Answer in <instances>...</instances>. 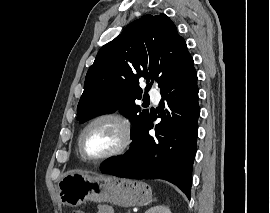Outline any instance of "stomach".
<instances>
[{
    "mask_svg": "<svg viewBox=\"0 0 270 213\" xmlns=\"http://www.w3.org/2000/svg\"><path fill=\"white\" fill-rule=\"evenodd\" d=\"M58 196L63 205L77 207L90 200L132 207L152 200L151 187L141 181L69 171L58 182Z\"/></svg>",
    "mask_w": 270,
    "mask_h": 213,
    "instance_id": "1",
    "label": "stomach"
}]
</instances>
